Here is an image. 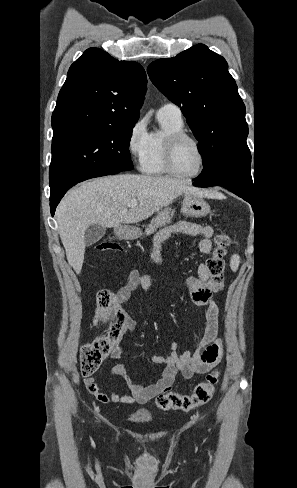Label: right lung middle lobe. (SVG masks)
<instances>
[{
  "label": "right lung middle lobe",
  "mask_w": 297,
  "mask_h": 488,
  "mask_svg": "<svg viewBox=\"0 0 297 488\" xmlns=\"http://www.w3.org/2000/svg\"><path fill=\"white\" fill-rule=\"evenodd\" d=\"M130 126L77 128L54 134L50 164V198L92 174L133 169Z\"/></svg>",
  "instance_id": "obj_1"
}]
</instances>
